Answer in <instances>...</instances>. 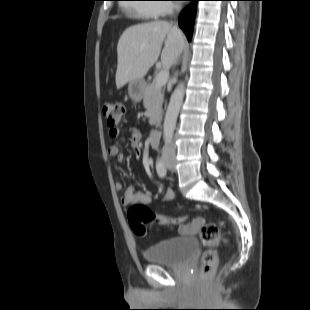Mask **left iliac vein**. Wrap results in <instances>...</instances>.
<instances>
[{
	"mask_svg": "<svg viewBox=\"0 0 310 310\" xmlns=\"http://www.w3.org/2000/svg\"><path fill=\"white\" fill-rule=\"evenodd\" d=\"M167 167H168L171 171H174L175 165H174V159H173V158H169V160L167 161Z\"/></svg>",
	"mask_w": 310,
	"mask_h": 310,
	"instance_id": "1",
	"label": "left iliac vein"
}]
</instances>
